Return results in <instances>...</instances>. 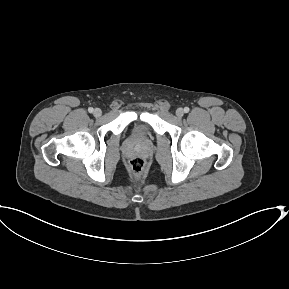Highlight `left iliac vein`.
I'll list each match as a JSON object with an SVG mask.
<instances>
[{"mask_svg":"<svg viewBox=\"0 0 289 289\" xmlns=\"http://www.w3.org/2000/svg\"><path fill=\"white\" fill-rule=\"evenodd\" d=\"M184 115V110L182 108H178L176 110V116L181 118Z\"/></svg>","mask_w":289,"mask_h":289,"instance_id":"left-iliac-vein-1","label":"left iliac vein"}]
</instances>
